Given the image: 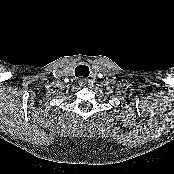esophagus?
Listing matches in <instances>:
<instances>
[{"label":"esophagus","mask_w":174,"mask_h":174,"mask_svg":"<svg viewBox=\"0 0 174 174\" xmlns=\"http://www.w3.org/2000/svg\"><path fill=\"white\" fill-rule=\"evenodd\" d=\"M86 82H87V80H86L85 78H80V79L78 80V84H79L80 86H84V85L86 84Z\"/></svg>","instance_id":"obj_1"}]
</instances>
